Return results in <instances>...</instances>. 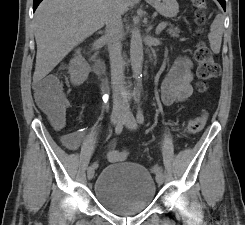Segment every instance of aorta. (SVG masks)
I'll return each mask as SVG.
<instances>
[{"mask_svg": "<svg viewBox=\"0 0 245 225\" xmlns=\"http://www.w3.org/2000/svg\"><path fill=\"white\" fill-rule=\"evenodd\" d=\"M130 60L133 71V76L137 80L136 95H139V89L141 87V73L143 64V44L140 30L134 27L131 30L130 40Z\"/></svg>", "mask_w": 245, "mask_h": 225, "instance_id": "1", "label": "aorta"}]
</instances>
